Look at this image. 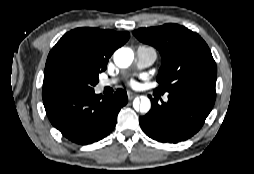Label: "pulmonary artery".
I'll use <instances>...</instances> for the list:
<instances>
[{
	"label": "pulmonary artery",
	"instance_id": "1",
	"mask_svg": "<svg viewBox=\"0 0 254 174\" xmlns=\"http://www.w3.org/2000/svg\"><path fill=\"white\" fill-rule=\"evenodd\" d=\"M157 58L154 48L148 46H139L136 51V61L139 68H146L151 66ZM117 83L116 78H105L99 82L100 89L112 86ZM167 96L164 100L167 101Z\"/></svg>",
	"mask_w": 254,
	"mask_h": 174
}]
</instances>
